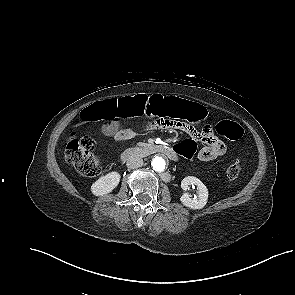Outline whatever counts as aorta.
<instances>
[{
    "label": "aorta",
    "instance_id": "1",
    "mask_svg": "<svg viewBox=\"0 0 295 295\" xmlns=\"http://www.w3.org/2000/svg\"><path fill=\"white\" fill-rule=\"evenodd\" d=\"M152 168L157 172H163L166 168V161L161 156H156L151 161Z\"/></svg>",
    "mask_w": 295,
    "mask_h": 295
}]
</instances>
